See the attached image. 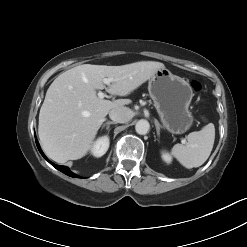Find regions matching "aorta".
Segmentation results:
<instances>
[{"instance_id": "1", "label": "aorta", "mask_w": 247, "mask_h": 247, "mask_svg": "<svg viewBox=\"0 0 247 247\" xmlns=\"http://www.w3.org/2000/svg\"><path fill=\"white\" fill-rule=\"evenodd\" d=\"M150 128L149 122L147 120L141 119L135 125V130L140 135H145L148 133Z\"/></svg>"}]
</instances>
